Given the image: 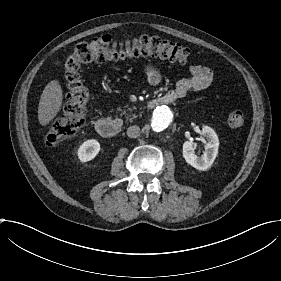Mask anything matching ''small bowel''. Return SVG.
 <instances>
[{"instance_id": "obj_1", "label": "small bowel", "mask_w": 281, "mask_h": 281, "mask_svg": "<svg viewBox=\"0 0 281 281\" xmlns=\"http://www.w3.org/2000/svg\"><path fill=\"white\" fill-rule=\"evenodd\" d=\"M144 71L147 82L151 86L154 87L160 83L161 75L154 65H146ZM190 72L191 76L178 81L168 95L154 96L157 100L155 106L166 102L172 103L177 99H184L190 91L203 90L210 85L212 81V72L208 68L194 65L191 67Z\"/></svg>"}]
</instances>
